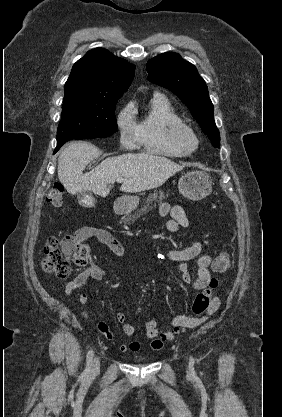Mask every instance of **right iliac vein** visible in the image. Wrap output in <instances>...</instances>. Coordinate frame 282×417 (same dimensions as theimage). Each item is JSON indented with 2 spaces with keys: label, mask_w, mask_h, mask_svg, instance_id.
Returning <instances> with one entry per match:
<instances>
[{
  "label": "right iliac vein",
  "mask_w": 282,
  "mask_h": 417,
  "mask_svg": "<svg viewBox=\"0 0 282 417\" xmlns=\"http://www.w3.org/2000/svg\"><path fill=\"white\" fill-rule=\"evenodd\" d=\"M100 368V360L98 357L94 358L92 365H91V369L90 372L91 374H96L99 371Z\"/></svg>",
  "instance_id": "right-iliac-vein-1"
}]
</instances>
